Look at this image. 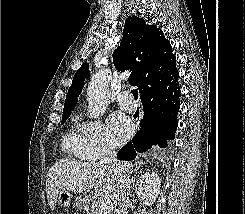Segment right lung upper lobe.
<instances>
[{"label":"right lung upper lobe","instance_id":"right-lung-upper-lobe-1","mask_svg":"<svg viewBox=\"0 0 245 214\" xmlns=\"http://www.w3.org/2000/svg\"><path fill=\"white\" fill-rule=\"evenodd\" d=\"M175 58L170 42L161 29L149 25L143 18L132 16L125 21L120 47L113 53V62L119 71L131 70L129 82L142 88L144 79L155 68ZM176 59V58H175ZM89 66L84 63L75 73L64 104L63 114L71 113L82 91Z\"/></svg>","mask_w":245,"mask_h":214}]
</instances>
